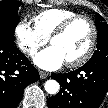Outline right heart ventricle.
I'll use <instances>...</instances> for the list:
<instances>
[{
    "label": "right heart ventricle",
    "mask_w": 108,
    "mask_h": 108,
    "mask_svg": "<svg viewBox=\"0 0 108 108\" xmlns=\"http://www.w3.org/2000/svg\"><path fill=\"white\" fill-rule=\"evenodd\" d=\"M75 15L77 13L70 9L49 8L36 14L33 17V23L39 33L48 39L62 22Z\"/></svg>",
    "instance_id": "1"
}]
</instances>
